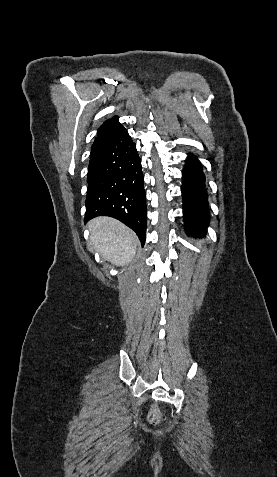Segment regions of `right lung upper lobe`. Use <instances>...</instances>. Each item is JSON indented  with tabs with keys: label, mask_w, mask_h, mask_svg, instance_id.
I'll return each instance as SVG.
<instances>
[{
	"label": "right lung upper lobe",
	"mask_w": 277,
	"mask_h": 477,
	"mask_svg": "<svg viewBox=\"0 0 277 477\" xmlns=\"http://www.w3.org/2000/svg\"><path fill=\"white\" fill-rule=\"evenodd\" d=\"M123 128L124 127L118 122L117 116H114L111 119L106 120L99 128L97 132V136L92 145V148L105 143Z\"/></svg>",
	"instance_id": "1"
}]
</instances>
